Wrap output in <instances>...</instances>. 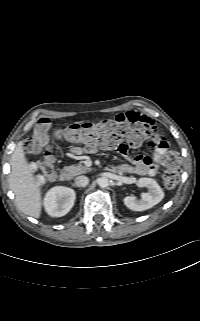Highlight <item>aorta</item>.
I'll return each instance as SVG.
<instances>
[{
  "instance_id": "aorta-1",
  "label": "aorta",
  "mask_w": 200,
  "mask_h": 321,
  "mask_svg": "<svg viewBox=\"0 0 200 321\" xmlns=\"http://www.w3.org/2000/svg\"><path fill=\"white\" fill-rule=\"evenodd\" d=\"M98 185L101 187V188H106L109 186V179L106 178V177H101L98 179Z\"/></svg>"
}]
</instances>
